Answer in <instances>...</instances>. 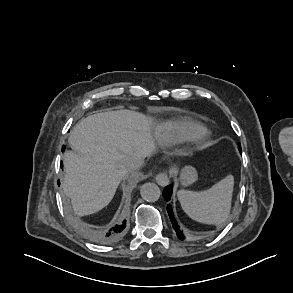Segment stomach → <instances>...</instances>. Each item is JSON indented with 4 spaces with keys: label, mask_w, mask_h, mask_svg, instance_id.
I'll list each match as a JSON object with an SVG mask.
<instances>
[{
    "label": "stomach",
    "mask_w": 293,
    "mask_h": 293,
    "mask_svg": "<svg viewBox=\"0 0 293 293\" xmlns=\"http://www.w3.org/2000/svg\"><path fill=\"white\" fill-rule=\"evenodd\" d=\"M198 179L197 170L190 165L185 166L180 173V182L183 186H189Z\"/></svg>",
    "instance_id": "obj_1"
}]
</instances>
